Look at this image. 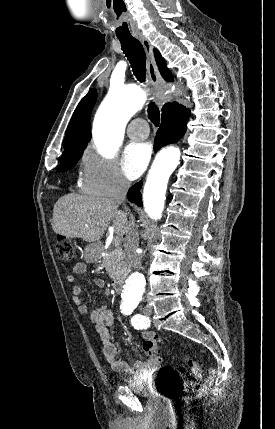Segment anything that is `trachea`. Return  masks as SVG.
I'll return each instance as SVG.
<instances>
[{"instance_id": "3493384b", "label": "trachea", "mask_w": 275, "mask_h": 429, "mask_svg": "<svg viewBox=\"0 0 275 429\" xmlns=\"http://www.w3.org/2000/svg\"><path fill=\"white\" fill-rule=\"evenodd\" d=\"M122 50L128 58L132 71L140 82H145L146 78V54L142 44L134 37H119ZM148 118L158 127L160 123V111L154 102L148 105Z\"/></svg>"}]
</instances>
